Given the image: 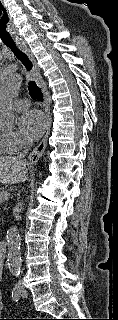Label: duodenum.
<instances>
[{
  "mask_svg": "<svg viewBox=\"0 0 118 320\" xmlns=\"http://www.w3.org/2000/svg\"><path fill=\"white\" fill-rule=\"evenodd\" d=\"M7 253V242L0 240V263L3 264Z\"/></svg>",
  "mask_w": 118,
  "mask_h": 320,
  "instance_id": "410a0bca",
  "label": "duodenum"
}]
</instances>
